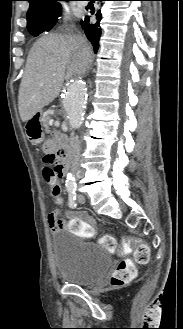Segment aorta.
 <instances>
[{"instance_id":"obj_1","label":"aorta","mask_w":183,"mask_h":329,"mask_svg":"<svg viewBox=\"0 0 183 329\" xmlns=\"http://www.w3.org/2000/svg\"><path fill=\"white\" fill-rule=\"evenodd\" d=\"M87 96V85L82 79H75L67 85L62 103L71 128L76 129L82 125L87 104ZM74 185V176L68 174L66 187H73Z\"/></svg>"}]
</instances>
